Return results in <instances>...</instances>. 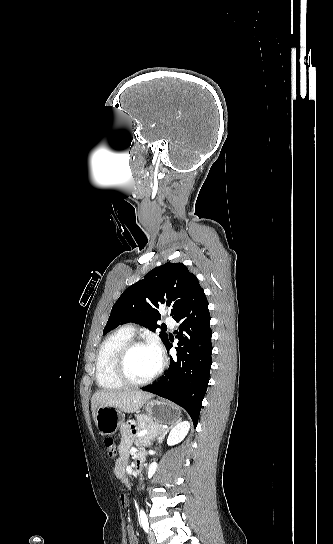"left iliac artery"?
I'll use <instances>...</instances> for the list:
<instances>
[{
	"instance_id": "left-iliac-artery-1",
	"label": "left iliac artery",
	"mask_w": 333,
	"mask_h": 544,
	"mask_svg": "<svg viewBox=\"0 0 333 544\" xmlns=\"http://www.w3.org/2000/svg\"><path fill=\"white\" fill-rule=\"evenodd\" d=\"M140 521H141V525H142L143 529L145 530V532H148L149 531V523H148L147 515L145 514L144 511L140 512Z\"/></svg>"
}]
</instances>
